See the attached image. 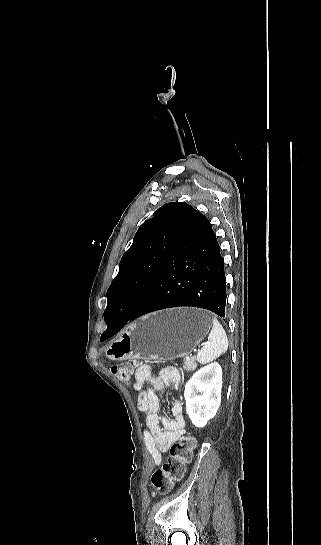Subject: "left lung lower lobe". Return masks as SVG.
Returning a JSON list of instances; mask_svg holds the SVG:
<instances>
[{
  "instance_id": "1",
  "label": "left lung lower lobe",
  "mask_w": 321,
  "mask_h": 545,
  "mask_svg": "<svg viewBox=\"0 0 321 545\" xmlns=\"http://www.w3.org/2000/svg\"><path fill=\"white\" fill-rule=\"evenodd\" d=\"M225 284L224 260L212 225L194 210L141 302L130 313L113 311L106 332L112 336L141 315L178 306L204 308L224 317Z\"/></svg>"
}]
</instances>
